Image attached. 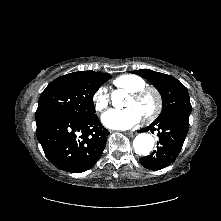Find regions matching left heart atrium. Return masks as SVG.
Returning a JSON list of instances; mask_svg holds the SVG:
<instances>
[{
    "label": "left heart atrium",
    "mask_w": 221,
    "mask_h": 221,
    "mask_svg": "<svg viewBox=\"0 0 221 221\" xmlns=\"http://www.w3.org/2000/svg\"><path fill=\"white\" fill-rule=\"evenodd\" d=\"M141 114L134 107L122 110L111 109L102 115V123L111 129L126 130L136 126L141 121Z\"/></svg>",
    "instance_id": "left-heart-atrium-1"
}]
</instances>
